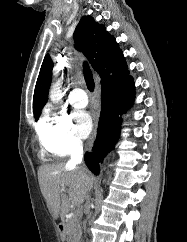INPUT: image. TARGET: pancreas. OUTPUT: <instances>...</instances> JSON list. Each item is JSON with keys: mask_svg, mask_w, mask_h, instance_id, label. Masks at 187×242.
I'll list each match as a JSON object with an SVG mask.
<instances>
[{"mask_svg": "<svg viewBox=\"0 0 187 242\" xmlns=\"http://www.w3.org/2000/svg\"><path fill=\"white\" fill-rule=\"evenodd\" d=\"M80 217H81V214H75L67 221V224H66L67 242H80V238H81Z\"/></svg>", "mask_w": 187, "mask_h": 242, "instance_id": "cf45deb5", "label": "pancreas"}]
</instances>
